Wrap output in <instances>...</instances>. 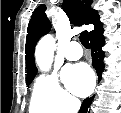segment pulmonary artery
Segmentation results:
<instances>
[{
    "mask_svg": "<svg viewBox=\"0 0 121 113\" xmlns=\"http://www.w3.org/2000/svg\"><path fill=\"white\" fill-rule=\"evenodd\" d=\"M82 55V48L80 44L76 41L70 42L64 50V57L69 61H76L80 59Z\"/></svg>",
    "mask_w": 121,
    "mask_h": 113,
    "instance_id": "pulmonary-artery-1",
    "label": "pulmonary artery"
}]
</instances>
